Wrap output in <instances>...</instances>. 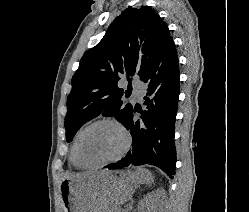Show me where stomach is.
I'll return each mask as SVG.
<instances>
[{
	"label": "stomach",
	"mask_w": 249,
	"mask_h": 212,
	"mask_svg": "<svg viewBox=\"0 0 249 212\" xmlns=\"http://www.w3.org/2000/svg\"><path fill=\"white\" fill-rule=\"evenodd\" d=\"M134 189L128 170H86V175L62 180L59 188L66 212L112 210L106 204H125V199L109 198H130Z\"/></svg>",
	"instance_id": "stomach-1"
}]
</instances>
